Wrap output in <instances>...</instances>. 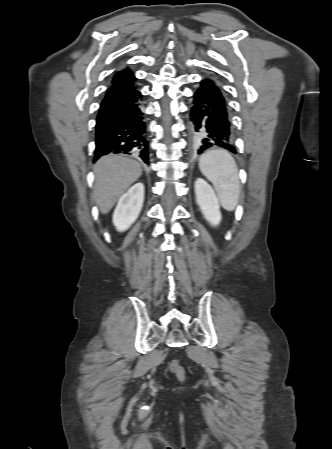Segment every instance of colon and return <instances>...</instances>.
I'll list each match as a JSON object with an SVG mask.
<instances>
[{
    "mask_svg": "<svg viewBox=\"0 0 332 449\" xmlns=\"http://www.w3.org/2000/svg\"><path fill=\"white\" fill-rule=\"evenodd\" d=\"M171 371L176 374L179 377H182L184 375L183 367L181 366L180 362L177 360H174L170 364Z\"/></svg>",
    "mask_w": 332,
    "mask_h": 449,
    "instance_id": "colon-1",
    "label": "colon"
}]
</instances>
